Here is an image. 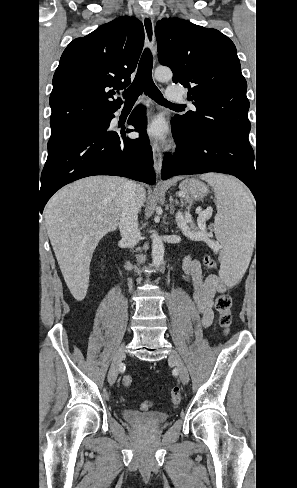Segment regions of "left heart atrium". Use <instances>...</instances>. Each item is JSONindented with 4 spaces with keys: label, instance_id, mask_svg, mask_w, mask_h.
I'll use <instances>...</instances> for the list:
<instances>
[{
    "label": "left heart atrium",
    "instance_id": "1",
    "mask_svg": "<svg viewBox=\"0 0 297 488\" xmlns=\"http://www.w3.org/2000/svg\"><path fill=\"white\" fill-rule=\"evenodd\" d=\"M167 126L161 118H154L146 127L145 133L156 141H164L167 136Z\"/></svg>",
    "mask_w": 297,
    "mask_h": 488
}]
</instances>
